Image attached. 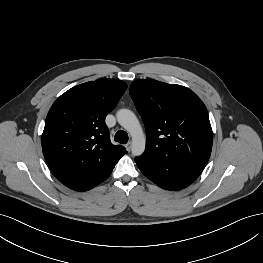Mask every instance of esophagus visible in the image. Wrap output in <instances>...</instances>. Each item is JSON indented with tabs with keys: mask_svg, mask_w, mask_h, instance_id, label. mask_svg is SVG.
Masks as SVG:
<instances>
[{
	"mask_svg": "<svg viewBox=\"0 0 263 263\" xmlns=\"http://www.w3.org/2000/svg\"><path fill=\"white\" fill-rule=\"evenodd\" d=\"M125 147H126V150H127L128 152H130V150H131V142H128V143L125 145Z\"/></svg>",
	"mask_w": 263,
	"mask_h": 263,
	"instance_id": "esophagus-1",
	"label": "esophagus"
}]
</instances>
